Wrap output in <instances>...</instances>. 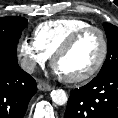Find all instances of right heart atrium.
Masks as SVG:
<instances>
[{
	"label": "right heart atrium",
	"instance_id": "right-heart-atrium-1",
	"mask_svg": "<svg viewBox=\"0 0 118 118\" xmlns=\"http://www.w3.org/2000/svg\"><path fill=\"white\" fill-rule=\"evenodd\" d=\"M17 53L23 68L29 72L44 64L49 56L38 46L34 39L23 38L19 41Z\"/></svg>",
	"mask_w": 118,
	"mask_h": 118
}]
</instances>
